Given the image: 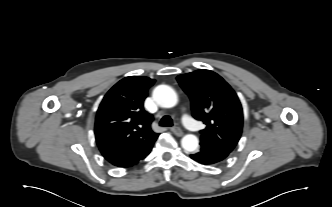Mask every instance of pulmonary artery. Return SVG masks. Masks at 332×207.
Here are the masks:
<instances>
[{
    "label": "pulmonary artery",
    "instance_id": "1",
    "mask_svg": "<svg viewBox=\"0 0 332 207\" xmlns=\"http://www.w3.org/2000/svg\"><path fill=\"white\" fill-rule=\"evenodd\" d=\"M186 125L192 131H195L197 129V127L195 126V124H193L192 122H186Z\"/></svg>",
    "mask_w": 332,
    "mask_h": 207
}]
</instances>
